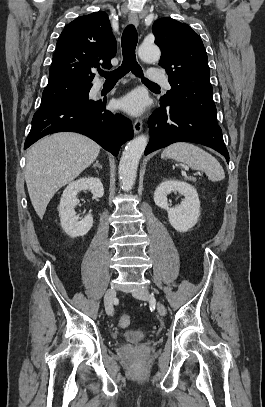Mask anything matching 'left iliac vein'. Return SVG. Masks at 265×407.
<instances>
[{"instance_id":"left-iliac-vein-1","label":"left iliac vein","mask_w":265,"mask_h":407,"mask_svg":"<svg viewBox=\"0 0 265 407\" xmlns=\"http://www.w3.org/2000/svg\"><path fill=\"white\" fill-rule=\"evenodd\" d=\"M133 296L137 299L145 300V301H150L153 299V297L150 295V292L145 288L136 290L135 292H133ZM156 306H157V311H158L159 315L165 316L166 308H165L164 304L159 301H156Z\"/></svg>"}]
</instances>
